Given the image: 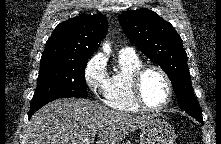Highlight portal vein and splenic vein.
I'll return each instance as SVG.
<instances>
[{"label":"portal vein and splenic vein","instance_id":"obj_1","mask_svg":"<svg viewBox=\"0 0 221 144\" xmlns=\"http://www.w3.org/2000/svg\"><path fill=\"white\" fill-rule=\"evenodd\" d=\"M93 141H94V138H91V139L87 140L86 144H92Z\"/></svg>","mask_w":221,"mask_h":144}]
</instances>
